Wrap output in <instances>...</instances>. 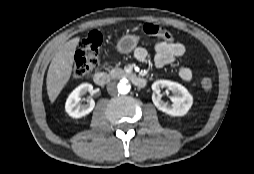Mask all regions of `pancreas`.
<instances>
[{
    "instance_id": "pancreas-1",
    "label": "pancreas",
    "mask_w": 254,
    "mask_h": 174,
    "mask_svg": "<svg viewBox=\"0 0 254 174\" xmlns=\"http://www.w3.org/2000/svg\"><path fill=\"white\" fill-rule=\"evenodd\" d=\"M124 75H125V72L121 68H113L109 71V76L113 79L120 78Z\"/></svg>"
}]
</instances>
